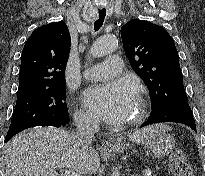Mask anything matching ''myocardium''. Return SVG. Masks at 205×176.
<instances>
[{
  "label": "myocardium",
  "instance_id": "f54148a6",
  "mask_svg": "<svg viewBox=\"0 0 205 176\" xmlns=\"http://www.w3.org/2000/svg\"><path fill=\"white\" fill-rule=\"evenodd\" d=\"M138 110L130 119L125 122L126 126H134L142 123L147 116V103L143 96L137 99Z\"/></svg>",
  "mask_w": 205,
  "mask_h": 176
}]
</instances>
